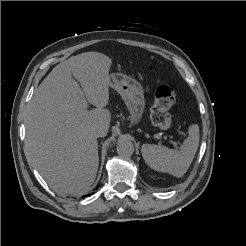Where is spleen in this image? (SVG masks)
I'll return each mask as SVG.
<instances>
[{"instance_id":"obj_1","label":"spleen","mask_w":246,"mask_h":246,"mask_svg":"<svg viewBox=\"0 0 246 246\" xmlns=\"http://www.w3.org/2000/svg\"><path fill=\"white\" fill-rule=\"evenodd\" d=\"M199 145V126L192 124L188 137L179 150L165 146L143 144L141 152L145 163L153 170L166 172L175 177L183 176L191 165Z\"/></svg>"}]
</instances>
